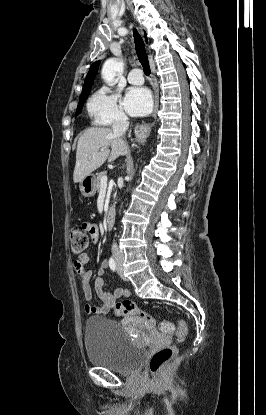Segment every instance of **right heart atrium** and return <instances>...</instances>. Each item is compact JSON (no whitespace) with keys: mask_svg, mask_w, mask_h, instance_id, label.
Returning <instances> with one entry per match:
<instances>
[{"mask_svg":"<svg viewBox=\"0 0 266 415\" xmlns=\"http://www.w3.org/2000/svg\"><path fill=\"white\" fill-rule=\"evenodd\" d=\"M87 111L91 119L102 126L127 120L118 96L107 87L100 88L89 98Z\"/></svg>","mask_w":266,"mask_h":415,"instance_id":"right-heart-atrium-1","label":"right heart atrium"}]
</instances>
